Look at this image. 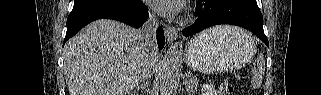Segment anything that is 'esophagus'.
I'll use <instances>...</instances> for the list:
<instances>
[{"mask_svg":"<svg viewBox=\"0 0 321 95\" xmlns=\"http://www.w3.org/2000/svg\"><path fill=\"white\" fill-rule=\"evenodd\" d=\"M177 37H178V33L176 28L171 26L165 27V38L168 43L172 44L174 41L177 40Z\"/></svg>","mask_w":321,"mask_h":95,"instance_id":"obj_1","label":"esophagus"}]
</instances>
